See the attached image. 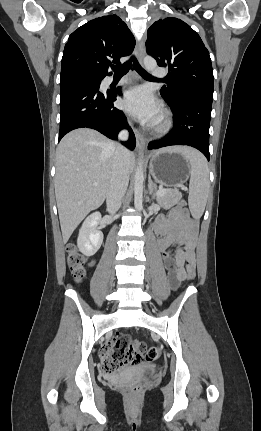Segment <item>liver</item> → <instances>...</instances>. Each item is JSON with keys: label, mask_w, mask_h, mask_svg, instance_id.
<instances>
[{"label": "liver", "mask_w": 261, "mask_h": 431, "mask_svg": "<svg viewBox=\"0 0 261 431\" xmlns=\"http://www.w3.org/2000/svg\"><path fill=\"white\" fill-rule=\"evenodd\" d=\"M117 145L99 132L80 128L60 141L56 155L55 195L63 243L90 211L107 197ZM135 156L128 152L126 168L133 171ZM98 183L94 186L93 183Z\"/></svg>", "instance_id": "liver-1"}]
</instances>
